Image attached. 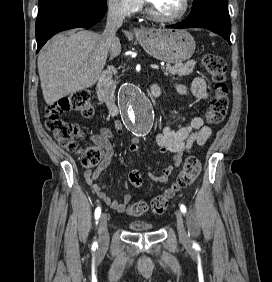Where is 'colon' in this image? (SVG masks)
I'll list each match as a JSON object with an SVG mask.
<instances>
[{
  "label": "colon",
  "mask_w": 272,
  "mask_h": 282,
  "mask_svg": "<svg viewBox=\"0 0 272 282\" xmlns=\"http://www.w3.org/2000/svg\"><path fill=\"white\" fill-rule=\"evenodd\" d=\"M203 64L215 89L214 97L206 111V120L210 124H218L224 119L229 107L228 87L225 83L226 64L220 56L214 54L206 55ZM67 112H77L84 117H90L94 112L90 93L79 91L54 102L46 111L45 123L59 146L69 152H79L84 167H95L101 161L102 150L96 145L79 148L78 140L84 133L77 123L62 118V114ZM200 168V161L195 156L188 157L172 188L154 197L149 204L144 201L131 204L127 210L128 214L140 216L150 211L154 215H163L175 191L191 185L198 176ZM129 181L134 187L142 184V178L136 172L129 174Z\"/></svg>",
  "instance_id": "5ec220e1"
}]
</instances>
